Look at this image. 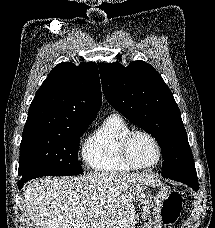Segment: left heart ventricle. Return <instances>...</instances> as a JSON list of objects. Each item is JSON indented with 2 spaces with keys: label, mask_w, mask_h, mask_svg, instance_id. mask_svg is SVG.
<instances>
[{
  "label": "left heart ventricle",
  "mask_w": 215,
  "mask_h": 228,
  "mask_svg": "<svg viewBox=\"0 0 215 228\" xmlns=\"http://www.w3.org/2000/svg\"><path fill=\"white\" fill-rule=\"evenodd\" d=\"M130 156L134 164L145 167L156 161L157 151L150 139L144 135H137L131 142Z\"/></svg>",
  "instance_id": "1"
}]
</instances>
